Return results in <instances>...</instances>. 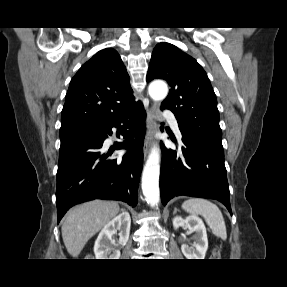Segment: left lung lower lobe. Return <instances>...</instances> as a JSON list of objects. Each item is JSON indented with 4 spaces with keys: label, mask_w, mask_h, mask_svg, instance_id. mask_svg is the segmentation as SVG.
<instances>
[{
    "label": "left lung lower lobe",
    "mask_w": 287,
    "mask_h": 287,
    "mask_svg": "<svg viewBox=\"0 0 287 287\" xmlns=\"http://www.w3.org/2000/svg\"><path fill=\"white\" fill-rule=\"evenodd\" d=\"M179 152L162 144L160 191L163 205L175 196L216 199L231 212L223 149L181 131Z\"/></svg>",
    "instance_id": "1"
}]
</instances>
